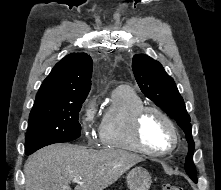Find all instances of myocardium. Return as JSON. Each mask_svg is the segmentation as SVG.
<instances>
[{"instance_id": "f54148a6", "label": "myocardium", "mask_w": 221, "mask_h": 190, "mask_svg": "<svg viewBox=\"0 0 221 190\" xmlns=\"http://www.w3.org/2000/svg\"><path fill=\"white\" fill-rule=\"evenodd\" d=\"M149 112H153L159 115L169 126L172 136H173V142L169 148L164 149V150H156V149L149 147L143 140L142 135H141L142 122L146 114ZM131 132H132L133 140L136 143V145L139 147V149L143 153L151 155V156L160 157V156L167 155L173 152L178 147L179 142H180L179 132L176 128V125L174 124V122L172 121V119L167 113H165L162 109L156 106L144 105L135 112L133 119H132Z\"/></svg>"}]
</instances>
